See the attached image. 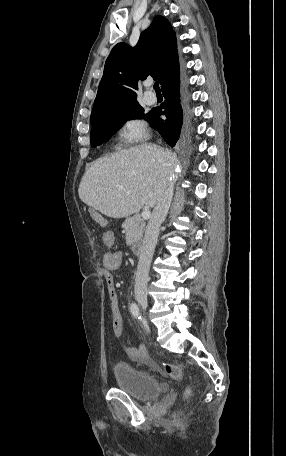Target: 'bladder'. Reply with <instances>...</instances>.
I'll return each mask as SVG.
<instances>
[{
  "instance_id": "obj_1",
  "label": "bladder",
  "mask_w": 286,
  "mask_h": 456,
  "mask_svg": "<svg viewBox=\"0 0 286 456\" xmlns=\"http://www.w3.org/2000/svg\"><path fill=\"white\" fill-rule=\"evenodd\" d=\"M115 379L119 389L139 400L156 398L164 391L153 375L123 362L115 365Z\"/></svg>"
}]
</instances>
